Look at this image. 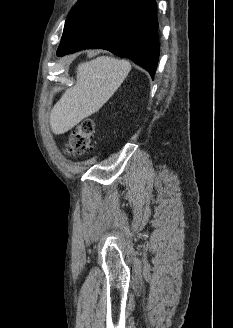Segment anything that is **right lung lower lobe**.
<instances>
[{"instance_id":"98d812e1","label":"right lung lower lobe","mask_w":233,"mask_h":328,"mask_svg":"<svg viewBox=\"0 0 233 328\" xmlns=\"http://www.w3.org/2000/svg\"><path fill=\"white\" fill-rule=\"evenodd\" d=\"M88 48L129 58L153 78L160 51L155 0H92L72 13L57 54Z\"/></svg>"}]
</instances>
